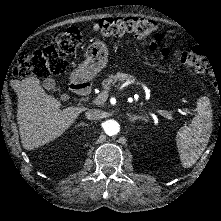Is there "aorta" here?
<instances>
[{
	"mask_svg": "<svg viewBox=\"0 0 221 221\" xmlns=\"http://www.w3.org/2000/svg\"><path fill=\"white\" fill-rule=\"evenodd\" d=\"M103 129L109 136L116 135L120 130V125L115 120H107L103 123Z\"/></svg>",
	"mask_w": 221,
	"mask_h": 221,
	"instance_id": "1",
	"label": "aorta"
}]
</instances>
